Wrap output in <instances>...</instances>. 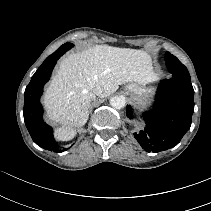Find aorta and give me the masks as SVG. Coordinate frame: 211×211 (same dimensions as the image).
<instances>
[{
	"label": "aorta",
	"instance_id": "aorta-1",
	"mask_svg": "<svg viewBox=\"0 0 211 211\" xmlns=\"http://www.w3.org/2000/svg\"><path fill=\"white\" fill-rule=\"evenodd\" d=\"M126 101L122 96H115L110 99V105L116 109H121L125 106Z\"/></svg>",
	"mask_w": 211,
	"mask_h": 211
}]
</instances>
